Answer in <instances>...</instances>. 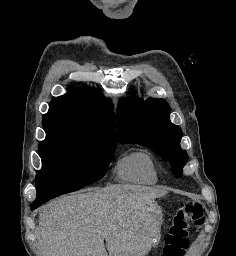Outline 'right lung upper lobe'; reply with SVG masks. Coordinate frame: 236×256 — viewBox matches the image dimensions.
<instances>
[{
    "label": "right lung upper lobe",
    "instance_id": "right-lung-upper-lobe-1",
    "mask_svg": "<svg viewBox=\"0 0 236 256\" xmlns=\"http://www.w3.org/2000/svg\"><path fill=\"white\" fill-rule=\"evenodd\" d=\"M68 91L50 102L49 112L43 116L44 130L64 129L116 141L111 101L90 87Z\"/></svg>",
    "mask_w": 236,
    "mask_h": 256
}]
</instances>
